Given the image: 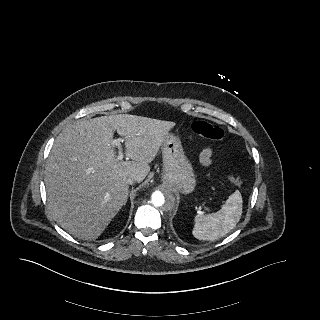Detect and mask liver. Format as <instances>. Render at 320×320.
Segmentation results:
<instances>
[{
    "label": "liver",
    "mask_w": 320,
    "mask_h": 320,
    "mask_svg": "<svg viewBox=\"0 0 320 320\" xmlns=\"http://www.w3.org/2000/svg\"><path fill=\"white\" fill-rule=\"evenodd\" d=\"M174 122L130 114L78 120L57 137L45 168L48 208L73 236L97 239L126 203L127 178L142 182ZM125 141L117 160L114 132Z\"/></svg>",
    "instance_id": "6515ba94"
}]
</instances>
